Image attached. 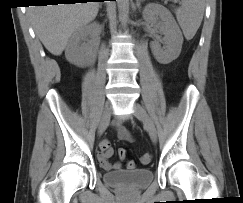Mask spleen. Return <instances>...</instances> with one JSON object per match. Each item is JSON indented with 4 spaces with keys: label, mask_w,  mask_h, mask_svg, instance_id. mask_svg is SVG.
<instances>
[{
    "label": "spleen",
    "mask_w": 243,
    "mask_h": 203,
    "mask_svg": "<svg viewBox=\"0 0 243 203\" xmlns=\"http://www.w3.org/2000/svg\"><path fill=\"white\" fill-rule=\"evenodd\" d=\"M204 8V0H182L181 7L175 10L177 21L187 40L192 39L200 27Z\"/></svg>",
    "instance_id": "obj_1"
}]
</instances>
